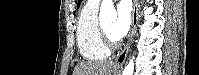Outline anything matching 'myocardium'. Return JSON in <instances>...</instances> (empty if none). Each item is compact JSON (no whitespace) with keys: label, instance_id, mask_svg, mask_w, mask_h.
Masks as SVG:
<instances>
[{"label":"myocardium","instance_id":"myocardium-1","mask_svg":"<svg viewBox=\"0 0 199 75\" xmlns=\"http://www.w3.org/2000/svg\"><path fill=\"white\" fill-rule=\"evenodd\" d=\"M99 29L105 46L110 49L115 48L117 46V41L107 34L102 24H100Z\"/></svg>","mask_w":199,"mask_h":75}]
</instances>
